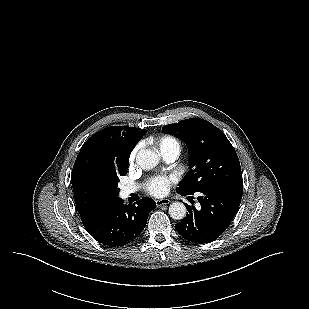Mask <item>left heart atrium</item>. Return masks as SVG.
<instances>
[{
    "label": "left heart atrium",
    "mask_w": 309,
    "mask_h": 309,
    "mask_svg": "<svg viewBox=\"0 0 309 309\" xmlns=\"http://www.w3.org/2000/svg\"><path fill=\"white\" fill-rule=\"evenodd\" d=\"M173 178L167 176H154L146 183V191L156 197L164 196L169 188Z\"/></svg>",
    "instance_id": "39dd6f15"
}]
</instances>
